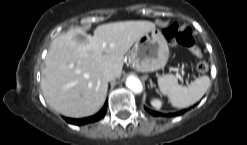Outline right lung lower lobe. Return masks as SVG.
I'll return each instance as SVG.
<instances>
[{"instance_id": "obj_1", "label": "right lung lower lobe", "mask_w": 247, "mask_h": 145, "mask_svg": "<svg viewBox=\"0 0 247 145\" xmlns=\"http://www.w3.org/2000/svg\"><path fill=\"white\" fill-rule=\"evenodd\" d=\"M106 109H107V102L105 103V105L103 106V108L100 110V112H98L94 116L83 118V119H70V118H66L65 120L68 123H71V124L84 125V124H87V123H90V122H95V121L101 119L105 115Z\"/></svg>"}]
</instances>
